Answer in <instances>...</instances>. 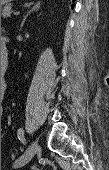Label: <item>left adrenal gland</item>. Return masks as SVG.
Returning <instances> with one entry per match:
<instances>
[{"instance_id": "obj_1", "label": "left adrenal gland", "mask_w": 109, "mask_h": 170, "mask_svg": "<svg viewBox=\"0 0 109 170\" xmlns=\"http://www.w3.org/2000/svg\"><path fill=\"white\" fill-rule=\"evenodd\" d=\"M40 8V2H37L33 5V7L26 13V15L24 16L22 22H21V28L23 27L25 21H26V18L28 17V15H30V13H32L33 11H36Z\"/></svg>"}]
</instances>
